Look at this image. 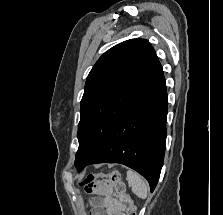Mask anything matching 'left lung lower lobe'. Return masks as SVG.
I'll list each match as a JSON object with an SVG mask.
<instances>
[{
	"mask_svg": "<svg viewBox=\"0 0 223 215\" xmlns=\"http://www.w3.org/2000/svg\"><path fill=\"white\" fill-rule=\"evenodd\" d=\"M167 111L166 83L161 68L85 166L104 162L121 163L145 177L153 192L164 160ZM85 166L78 168V171Z\"/></svg>",
	"mask_w": 223,
	"mask_h": 215,
	"instance_id": "left-lung-lower-lobe-1",
	"label": "left lung lower lobe"
}]
</instances>
